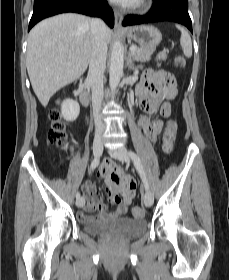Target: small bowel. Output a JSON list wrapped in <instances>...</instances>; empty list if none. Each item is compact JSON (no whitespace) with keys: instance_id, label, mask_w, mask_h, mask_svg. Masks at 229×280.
I'll return each mask as SVG.
<instances>
[{"instance_id":"small-bowel-1","label":"small bowel","mask_w":229,"mask_h":280,"mask_svg":"<svg viewBox=\"0 0 229 280\" xmlns=\"http://www.w3.org/2000/svg\"><path fill=\"white\" fill-rule=\"evenodd\" d=\"M180 66V65H179ZM182 67V66H180ZM177 94V88L171 92L160 80L150 73H145L140 78L137 87V101L142 111L147 115L158 113L162 117L170 115L171 106L168 100L173 99ZM139 126L142 128L146 137L154 141L163 128V122L160 119L151 120L143 117L139 120ZM121 174L123 180L115 184L111 180V174ZM96 177L103 178L110 190L109 202L116 204L114 212H110L107 206L100 201L98 193L90 183L82 185L85 204L77 213V217L82 222L87 220H108L110 218H122L126 213L128 206L134 196L136 182L130 175L123 174V167L115 165L108 160L96 174ZM95 212H100L99 217L93 216Z\"/></svg>"}]
</instances>
